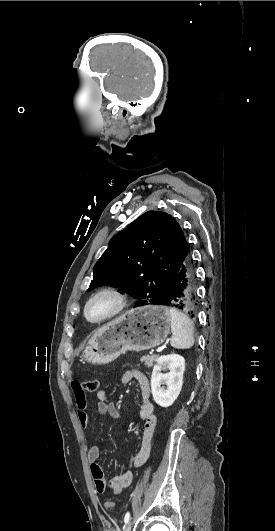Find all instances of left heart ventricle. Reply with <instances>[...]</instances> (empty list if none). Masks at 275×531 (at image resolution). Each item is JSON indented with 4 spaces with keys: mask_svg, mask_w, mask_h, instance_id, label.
I'll return each mask as SVG.
<instances>
[{
    "mask_svg": "<svg viewBox=\"0 0 275 531\" xmlns=\"http://www.w3.org/2000/svg\"><path fill=\"white\" fill-rule=\"evenodd\" d=\"M110 307L111 303L108 300H100L92 304L88 312L91 317H99L105 314Z\"/></svg>",
    "mask_w": 275,
    "mask_h": 531,
    "instance_id": "b2bd125f",
    "label": "left heart ventricle"
}]
</instances>
